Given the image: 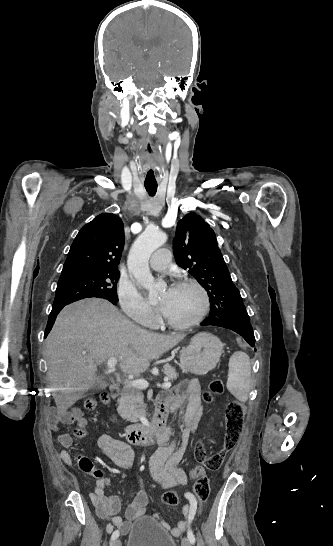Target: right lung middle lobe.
I'll return each mask as SVG.
<instances>
[{
	"label": "right lung middle lobe",
	"mask_w": 333,
	"mask_h": 546,
	"mask_svg": "<svg viewBox=\"0 0 333 546\" xmlns=\"http://www.w3.org/2000/svg\"><path fill=\"white\" fill-rule=\"evenodd\" d=\"M118 270L74 272L61 275L58 281L53 306L65 305L90 297L118 302Z\"/></svg>",
	"instance_id": "right-lung-middle-lobe-1"
}]
</instances>
